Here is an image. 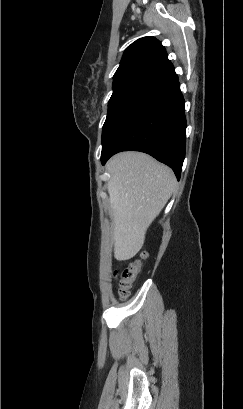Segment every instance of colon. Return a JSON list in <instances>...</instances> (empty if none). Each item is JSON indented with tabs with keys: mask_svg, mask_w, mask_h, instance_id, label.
I'll return each instance as SVG.
<instances>
[{
	"mask_svg": "<svg viewBox=\"0 0 243 409\" xmlns=\"http://www.w3.org/2000/svg\"><path fill=\"white\" fill-rule=\"evenodd\" d=\"M142 258L130 261L124 268L117 273L118 295L120 298H126L133 286L142 267Z\"/></svg>",
	"mask_w": 243,
	"mask_h": 409,
	"instance_id": "obj_1",
	"label": "colon"
}]
</instances>
